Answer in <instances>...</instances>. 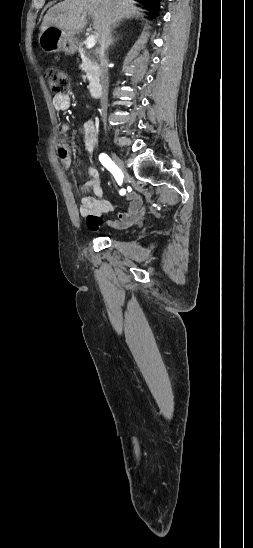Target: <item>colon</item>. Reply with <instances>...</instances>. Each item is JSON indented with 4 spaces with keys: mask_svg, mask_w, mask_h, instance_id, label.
<instances>
[{
    "mask_svg": "<svg viewBox=\"0 0 253 548\" xmlns=\"http://www.w3.org/2000/svg\"><path fill=\"white\" fill-rule=\"evenodd\" d=\"M47 84L52 92L60 93L68 85L67 73L58 66H50L45 72Z\"/></svg>",
    "mask_w": 253,
    "mask_h": 548,
    "instance_id": "5ec220e1",
    "label": "colon"
}]
</instances>
